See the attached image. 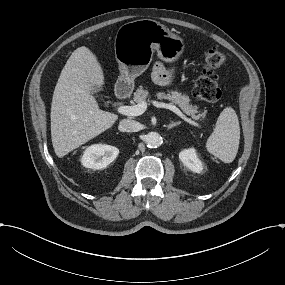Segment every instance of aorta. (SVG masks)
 Returning <instances> with one entry per match:
<instances>
[{
  "label": "aorta",
  "mask_w": 285,
  "mask_h": 285,
  "mask_svg": "<svg viewBox=\"0 0 285 285\" xmlns=\"http://www.w3.org/2000/svg\"><path fill=\"white\" fill-rule=\"evenodd\" d=\"M144 141L149 148H157L161 145L162 138L157 132H149L145 135Z\"/></svg>",
  "instance_id": "aorta-1"
}]
</instances>
